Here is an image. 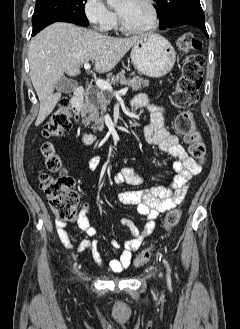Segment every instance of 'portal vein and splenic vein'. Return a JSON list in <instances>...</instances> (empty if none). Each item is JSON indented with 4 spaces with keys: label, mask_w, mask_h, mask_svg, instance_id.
I'll return each instance as SVG.
<instances>
[{
    "label": "portal vein and splenic vein",
    "mask_w": 240,
    "mask_h": 329,
    "mask_svg": "<svg viewBox=\"0 0 240 329\" xmlns=\"http://www.w3.org/2000/svg\"><path fill=\"white\" fill-rule=\"evenodd\" d=\"M90 64L87 62L84 64V68L85 69H90ZM96 85L98 86L99 89H101L102 91H108L113 93V89L111 84L108 81H104L102 79H98L96 80ZM128 88H124L120 91H115L113 94L114 95H119V94H125L127 92Z\"/></svg>",
    "instance_id": "obj_1"
}]
</instances>
